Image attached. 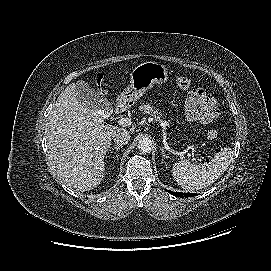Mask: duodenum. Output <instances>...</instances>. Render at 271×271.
Here are the masks:
<instances>
[{
    "instance_id": "obj_1",
    "label": "duodenum",
    "mask_w": 271,
    "mask_h": 271,
    "mask_svg": "<svg viewBox=\"0 0 271 271\" xmlns=\"http://www.w3.org/2000/svg\"><path fill=\"white\" fill-rule=\"evenodd\" d=\"M125 109H126V105L123 103H119V104H117V106L115 108V113L121 114L122 112H124Z\"/></svg>"
}]
</instances>
